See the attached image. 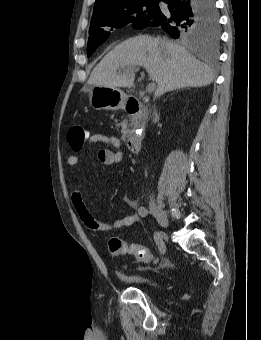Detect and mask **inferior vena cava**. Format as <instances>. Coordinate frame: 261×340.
<instances>
[{
	"label": "inferior vena cava",
	"mask_w": 261,
	"mask_h": 340,
	"mask_svg": "<svg viewBox=\"0 0 261 340\" xmlns=\"http://www.w3.org/2000/svg\"><path fill=\"white\" fill-rule=\"evenodd\" d=\"M160 39V41H161V45L162 46H165L166 45V43H167V40L165 39V38H163V39H161V38H159ZM154 116H155V118H157V113H156V111H154Z\"/></svg>",
	"instance_id": "inferior-vena-cava-1"
}]
</instances>
